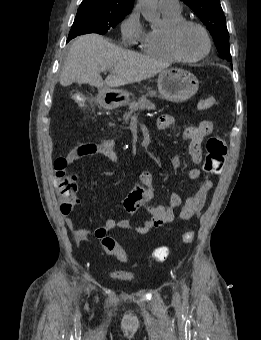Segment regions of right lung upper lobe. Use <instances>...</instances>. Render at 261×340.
Instances as JSON below:
<instances>
[{"instance_id": "right-lung-upper-lobe-1", "label": "right lung upper lobe", "mask_w": 261, "mask_h": 340, "mask_svg": "<svg viewBox=\"0 0 261 340\" xmlns=\"http://www.w3.org/2000/svg\"><path fill=\"white\" fill-rule=\"evenodd\" d=\"M134 0H83L81 5L108 7L129 13L133 8Z\"/></svg>"}]
</instances>
